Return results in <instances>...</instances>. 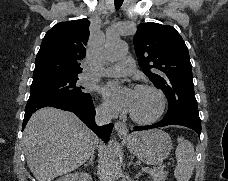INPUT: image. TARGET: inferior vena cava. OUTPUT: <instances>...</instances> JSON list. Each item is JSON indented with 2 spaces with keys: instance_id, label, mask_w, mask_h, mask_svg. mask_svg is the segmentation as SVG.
I'll list each match as a JSON object with an SVG mask.
<instances>
[{
  "instance_id": "1",
  "label": "inferior vena cava",
  "mask_w": 228,
  "mask_h": 181,
  "mask_svg": "<svg viewBox=\"0 0 228 181\" xmlns=\"http://www.w3.org/2000/svg\"><path fill=\"white\" fill-rule=\"evenodd\" d=\"M112 115L104 111V109H96L95 123L96 125H108L111 123Z\"/></svg>"
}]
</instances>
